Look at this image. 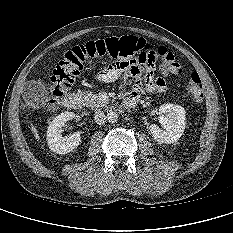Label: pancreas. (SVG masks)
<instances>
[{"instance_id": "1", "label": "pancreas", "mask_w": 233, "mask_h": 233, "mask_svg": "<svg viewBox=\"0 0 233 233\" xmlns=\"http://www.w3.org/2000/svg\"><path fill=\"white\" fill-rule=\"evenodd\" d=\"M80 97L86 106L92 108L101 107L104 103L93 92L85 91L80 93Z\"/></svg>"}]
</instances>
